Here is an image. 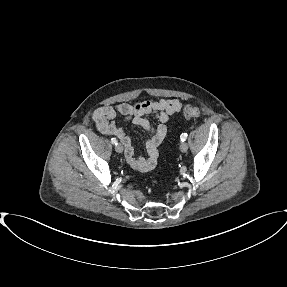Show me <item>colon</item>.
Segmentation results:
<instances>
[{"label":"colon","instance_id":"obj_1","mask_svg":"<svg viewBox=\"0 0 287 287\" xmlns=\"http://www.w3.org/2000/svg\"><path fill=\"white\" fill-rule=\"evenodd\" d=\"M183 115L187 119H197L200 117V109L196 105L188 104L184 107Z\"/></svg>","mask_w":287,"mask_h":287}]
</instances>
